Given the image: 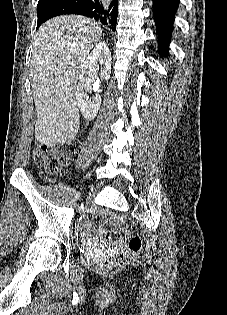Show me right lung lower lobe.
Listing matches in <instances>:
<instances>
[{"mask_svg":"<svg viewBox=\"0 0 227 315\" xmlns=\"http://www.w3.org/2000/svg\"><path fill=\"white\" fill-rule=\"evenodd\" d=\"M117 9L118 0H112L108 10H104L101 0H63L51 12L50 16L52 18L66 14L83 15L100 21L115 31L118 16Z\"/></svg>","mask_w":227,"mask_h":315,"instance_id":"obj_1","label":"right lung lower lobe"}]
</instances>
